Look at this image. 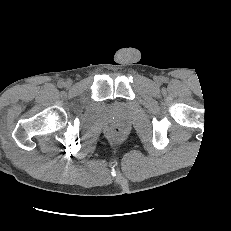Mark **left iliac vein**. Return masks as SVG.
Wrapping results in <instances>:
<instances>
[{
  "label": "left iliac vein",
  "instance_id": "obj_1",
  "mask_svg": "<svg viewBox=\"0 0 231 231\" xmlns=\"http://www.w3.org/2000/svg\"><path fill=\"white\" fill-rule=\"evenodd\" d=\"M156 81H157V83H159V82H160V80H159V79H157Z\"/></svg>",
  "mask_w": 231,
  "mask_h": 231
}]
</instances>
